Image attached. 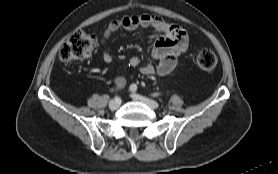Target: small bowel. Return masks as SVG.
Returning a JSON list of instances; mask_svg holds the SVG:
<instances>
[{
    "mask_svg": "<svg viewBox=\"0 0 278 174\" xmlns=\"http://www.w3.org/2000/svg\"><path fill=\"white\" fill-rule=\"evenodd\" d=\"M138 27L154 28L160 33V37L155 41L152 48V57L157 61V65L141 64V59L137 55L129 59L133 67H138L145 75L158 74L165 76L170 74L177 66L179 57L187 50L188 35L183 28L172 24L157 15L141 14L123 16L111 21L101 37V45H104L108 38L121 30H133ZM102 59L109 63L112 55L106 49L102 50ZM115 86L122 89L125 85L123 77L114 80Z\"/></svg>",
    "mask_w": 278,
    "mask_h": 174,
    "instance_id": "c3829d8e",
    "label": "small bowel"
}]
</instances>
